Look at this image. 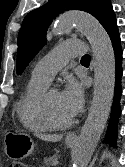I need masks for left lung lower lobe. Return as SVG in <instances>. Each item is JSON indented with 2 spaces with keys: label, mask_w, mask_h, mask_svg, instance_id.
<instances>
[{
  "label": "left lung lower lobe",
  "mask_w": 125,
  "mask_h": 167,
  "mask_svg": "<svg viewBox=\"0 0 125 167\" xmlns=\"http://www.w3.org/2000/svg\"><path fill=\"white\" fill-rule=\"evenodd\" d=\"M107 33L113 44V49L115 54L116 76H115V93H114L113 105L111 110V116H110L108 129L103 142L109 144L110 146H116L117 124H118L119 115L121 113L119 100L122 94V89H121L122 49H121V41H120L116 20L108 28Z\"/></svg>",
  "instance_id": "left-lung-lower-lobe-1"
}]
</instances>
